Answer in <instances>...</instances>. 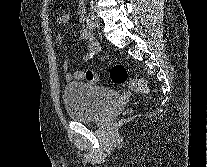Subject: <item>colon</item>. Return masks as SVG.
I'll list each match as a JSON object with an SVG mask.
<instances>
[{"label":"colon","mask_w":207,"mask_h":167,"mask_svg":"<svg viewBox=\"0 0 207 167\" xmlns=\"http://www.w3.org/2000/svg\"><path fill=\"white\" fill-rule=\"evenodd\" d=\"M110 79L113 83L124 85L129 81V72L125 65L114 64L110 69ZM85 78L88 82L95 83L98 81V76L95 72L88 70L85 72ZM129 86L132 90L138 93H149V86L145 79L136 77L129 81Z\"/></svg>","instance_id":"colon-1"}]
</instances>
